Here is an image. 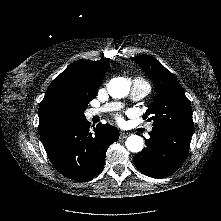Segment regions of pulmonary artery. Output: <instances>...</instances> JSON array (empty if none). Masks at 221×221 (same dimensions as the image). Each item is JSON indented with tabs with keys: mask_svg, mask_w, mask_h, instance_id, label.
Masks as SVG:
<instances>
[{
	"mask_svg": "<svg viewBox=\"0 0 221 221\" xmlns=\"http://www.w3.org/2000/svg\"><path fill=\"white\" fill-rule=\"evenodd\" d=\"M149 91H150V87L148 85L133 83V87L131 91V98L135 101L140 100L143 97H145L149 93ZM119 107H120L119 103H110L100 108H92L88 111V116L92 117L101 112L117 110ZM148 131H152V127H149Z\"/></svg>",
	"mask_w": 221,
	"mask_h": 221,
	"instance_id": "1",
	"label": "pulmonary artery"
}]
</instances>
